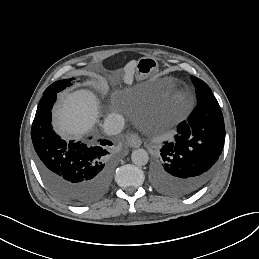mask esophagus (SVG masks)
Masks as SVG:
<instances>
[{"label":"esophagus","instance_id":"34e87169","mask_svg":"<svg viewBox=\"0 0 259 259\" xmlns=\"http://www.w3.org/2000/svg\"><path fill=\"white\" fill-rule=\"evenodd\" d=\"M127 141H128L129 146L132 148H138L142 144L141 138L136 133L129 134V136L127 137Z\"/></svg>","mask_w":259,"mask_h":259}]
</instances>
